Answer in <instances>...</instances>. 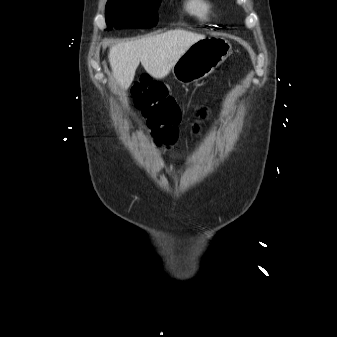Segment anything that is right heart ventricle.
<instances>
[{
    "mask_svg": "<svg viewBox=\"0 0 337 337\" xmlns=\"http://www.w3.org/2000/svg\"><path fill=\"white\" fill-rule=\"evenodd\" d=\"M186 11L199 22H208L213 14V4L210 0H187Z\"/></svg>",
    "mask_w": 337,
    "mask_h": 337,
    "instance_id": "1",
    "label": "right heart ventricle"
}]
</instances>
